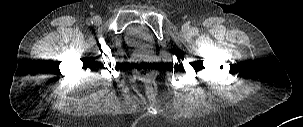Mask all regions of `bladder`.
Here are the masks:
<instances>
[{
    "label": "bladder",
    "mask_w": 303,
    "mask_h": 127,
    "mask_svg": "<svg viewBox=\"0 0 303 127\" xmlns=\"http://www.w3.org/2000/svg\"><path fill=\"white\" fill-rule=\"evenodd\" d=\"M125 41L133 48H150L152 40L149 31L139 25L129 27L125 33Z\"/></svg>",
    "instance_id": "31cf9c89"
}]
</instances>
